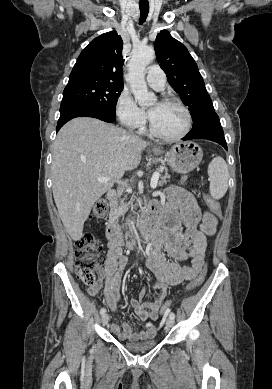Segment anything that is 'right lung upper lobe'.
<instances>
[{
	"mask_svg": "<svg viewBox=\"0 0 272 389\" xmlns=\"http://www.w3.org/2000/svg\"><path fill=\"white\" fill-rule=\"evenodd\" d=\"M123 41L116 31L100 35L79 55L68 83L102 81L122 84Z\"/></svg>",
	"mask_w": 272,
	"mask_h": 389,
	"instance_id": "obj_1",
	"label": "right lung upper lobe"
}]
</instances>
